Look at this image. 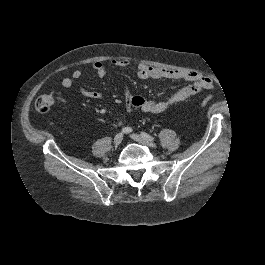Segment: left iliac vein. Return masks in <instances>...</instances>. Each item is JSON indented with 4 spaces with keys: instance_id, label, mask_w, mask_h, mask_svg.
Returning a JSON list of instances; mask_svg holds the SVG:
<instances>
[{
    "instance_id": "obj_1",
    "label": "left iliac vein",
    "mask_w": 265,
    "mask_h": 265,
    "mask_svg": "<svg viewBox=\"0 0 265 265\" xmlns=\"http://www.w3.org/2000/svg\"><path fill=\"white\" fill-rule=\"evenodd\" d=\"M131 137L134 141H137V142L142 143L144 145H147L149 147L155 146L153 139L150 137H144V136L139 135V134H132Z\"/></svg>"
}]
</instances>
